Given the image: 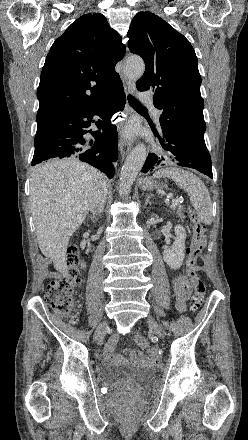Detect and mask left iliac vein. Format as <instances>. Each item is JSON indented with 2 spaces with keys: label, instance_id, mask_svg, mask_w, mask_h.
I'll use <instances>...</instances> for the list:
<instances>
[{
  "label": "left iliac vein",
  "instance_id": "1",
  "mask_svg": "<svg viewBox=\"0 0 248 440\" xmlns=\"http://www.w3.org/2000/svg\"><path fill=\"white\" fill-rule=\"evenodd\" d=\"M148 324L150 326V328L161 338L164 337V333L163 330L161 328V326L152 318L148 319Z\"/></svg>",
  "mask_w": 248,
  "mask_h": 440
}]
</instances>
